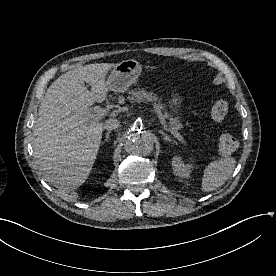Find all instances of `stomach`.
<instances>
[{
	"instance_id": "1",
	"label": "stomach",
	"mask_w": 276,
	"mask_h": 276,
	"mask_svg": "<svg viewBox=\"0 0 276 276\" xmlns=\"http://www.w3.org/2000/svg\"><path fill=\"white\" fill-rule=\"evenodd\" d=\"M142 72V65L134 59L124 60L118 63L111 72L108 82L109 89L114 92H125L132 84L137 83ZM181 103L180 97L175 94L171 105L177 110Z\"/></svg>"
}]
</instances>
